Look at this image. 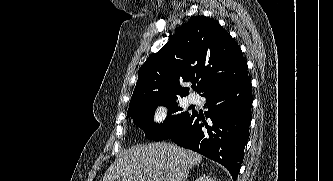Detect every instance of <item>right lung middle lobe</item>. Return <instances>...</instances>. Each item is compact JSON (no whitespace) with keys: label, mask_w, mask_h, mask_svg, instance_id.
<instances>
[{"label":"right lung middle lobe","mask_w":333,"mask_h":181,"mask_svg":"<svg viewBox=\"0 0 333 181\" xmlns=\"http://www.w3.org/2000/svg\"><path fill=\"white\" fill-rule=\"evenodd\" d=\"M169 108L168 117L163 124H157L153 120L155 108L158 106ZM176 103V98L152 100L128 110L127 118H132L136 126L140 127L146 138L161 141L174 135L181 124L191 115L182 112Z\"/></svg>","instance_id":"right-lung-middle-lobe-1"}]
</instances>
